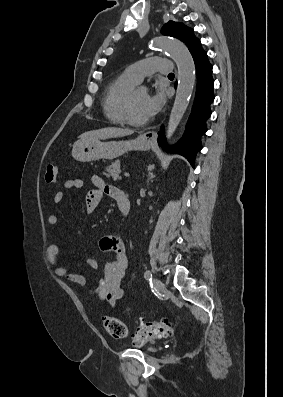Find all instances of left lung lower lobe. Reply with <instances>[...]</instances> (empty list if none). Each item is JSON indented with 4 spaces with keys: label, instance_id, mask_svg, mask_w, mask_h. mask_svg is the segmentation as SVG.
Masks as SVG:
<instances>
[{
    "label": "left lung lower lobe",
    "instance_id": "0a47b994",
    "mask_svg": "<svg viewBox=\"0 0 283 397\" xmlns=\"http://www.w3.org/2000/svg\"><path fill=\"white\" fill-rule=\"evenodd\" d=\"M190 52L197 71V89L185 134L176 145L168 147L162 128L158 133L157 141L165 151L183 155L194 166L195 155L202 148L200 138L207 131L206 120L211 115L210 104L214 100V80L212 78V65L209 63L207 52L202 49L201 43L192 47Z\"/></svg>",
    "mask_w": 283,
    "mask_h": 397
}]
</instances>
